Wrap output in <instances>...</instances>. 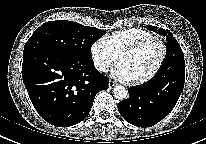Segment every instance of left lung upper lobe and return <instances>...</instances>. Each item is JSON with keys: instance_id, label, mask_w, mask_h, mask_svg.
Segmentation results:
<instances>
[{"instance_id": "5c2ea615", "label": "left lung upper lobe", "mask_w": 206, "mask_h": 144, "mask_svg": "<svg viewBox=\"0 0 206 144\" xmlns=\"http://www.w3.org/2000/svg\"><path fill=\"white\" fill-rule=\"evenodd\" d=\"M147 28L150 31L157 32L160 35H163L167 41L166 58L164 59L161 68L159 69L158 73L155 75L153 79L163 75L166 72V70L169 68H173V67L184 68L185 67L184 54L182 52L179 43L173 37V34L169 30H165L155 26H148Z\"/></svg>"}]
</instances>
